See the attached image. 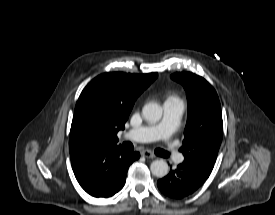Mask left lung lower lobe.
Returning a JSON list of instances; mask_svg holds the SVG:
<instances>
[{
  "mask_svg": "<svg viewBox=\"0 0 275 215\" xmlns=\"http://www.w3.org/2000/svg\"><path fill=\"white\" fill-rule=\"evenodd\" d=\"M209 175L188 166L184 162L157 182L160 191L171 198L181 199L194 193Z\"/></svg>",
  "mask_w": 275,
  "mask_h": 215,
  "instance_id": "0a47b994",
  "label": "left lung lower lobe"
}]
</instances>
